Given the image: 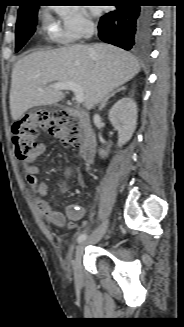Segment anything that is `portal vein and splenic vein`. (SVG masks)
I'll use <instances>...</instances> for the list:
<instances>
[{"instance_id":"obj_1","label":"portal vein and splenic vein","mask_w":184,"mask_h":327,"mask_svg":"<svg viewBox=\"0 0 184 327\" xmlns=\"http://www.w3.org/2000/svg\"><path fill=\"white\" fill-rule=\"evenodd\" d=\"M53 89L56 90H71L75 95V100L77 103L84 102V94L82 88L73 82H63V83H54L51 85ZM39 91H43V88H39Z\"/></svg>"}]
</instances>
